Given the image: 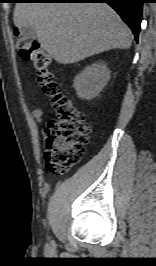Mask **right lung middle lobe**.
<instances>
[{
  "label": "right lung middle lobe",
  "mask_w": 156,
  "mask_h": 266,
  "mask_svg": "<svg viewBox=\"0 0 156 266\" xmlns=\"http://www.w3.org/2000/svg\"><path fill=\"white\" fill-rule=\"evenodd\" d=\"M16 1H21V0H15V1H13V2H16Z\"/></svg>",
  "instance_id": "right-lung-middle-lobe-1"
}]
</instances>
